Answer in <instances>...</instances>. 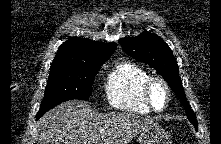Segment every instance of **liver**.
<instances>
[{
    "label": "liver",
    "mask_w": 221,
    "mask_h": 144,
    "mask_svg": "<svg viewBox=\"0 0 221 144\" xmlns=\"http://www.w3.org/2000/svg\"><path fill=\"white\" fill-rule=\"evenodd\" d=\"M38 144H129L158 124L132 113H98L83 101H68L44 114Z\"/></svg>",
    "instance_id": "6515ba94"
}]
</instances>
